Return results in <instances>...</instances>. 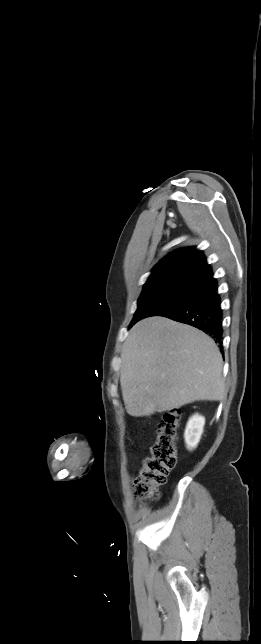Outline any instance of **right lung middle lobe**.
I'll use <instances>...</instances> for the list:
<instances>
[{"mask_svg": "<svg viewBox=\"0 0 261 644\" xmlns=\"http://www.w3.org/2000/svg\"><path fill=\"white\" fill-rule=\"evenodd\" d=\"M199 285L196 282L181 279L145 284L138 300V308L129 327L143 318L162 315L175 308L185 302Z\"/></svg>", "mask_w": 261, "mask_h": 644, "instance_id": "1", "label": "right lung middle lobe"}]
</instances>
